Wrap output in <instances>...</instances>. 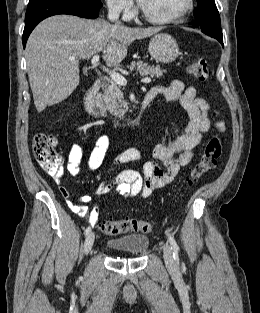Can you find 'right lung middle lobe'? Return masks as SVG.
Wrapping results in <instances>:
<instances>
[{"label": "right lung middle lobe", "mask_w": 260, "mask_h": 313, "mask_svg": "<svg viewBox=\"0 0 260 313\" xmlns=\"http://www.w3.org/2000/svg\"><path fill=\"white\" fill-rule=\"evenodd\" d=\"M81 1H86V2H89V3H92V4H96V5L102 6V3H101L100 0H81Z\"/></svg>", "instance_id": "1"}]
</instances>
